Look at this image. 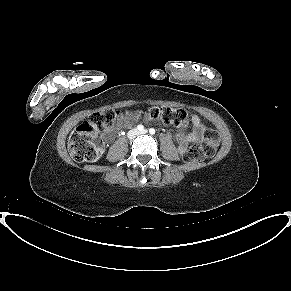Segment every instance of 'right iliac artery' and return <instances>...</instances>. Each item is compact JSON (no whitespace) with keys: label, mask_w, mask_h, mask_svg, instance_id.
<instances>
[{"label":"right iliac artery","mask_w":291,"mask_h":291,"mask_svg":"<svg viewBox=\"0 0 291 291\" xmlns=\"http://www.w3.org/2000/svg\"><path fill=\"white\" fill-rule=\"evenodd\" d=\"M137 129H138L139 131H142V130L144 129V126L140 124V125L137 126Z\"/></svg>","instance_id":"right-iliac-artery-1"}]
</instances>
